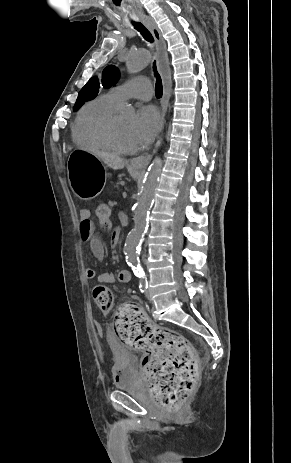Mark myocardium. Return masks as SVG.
Here are the masks:
<instances>
[{"mask_svg":"<svg viewBox=\"0 0 291 463\" xmlns=\"http://www.w3.org/2000/svg\"><path fill=\"white\" fill-rule=\"evenodd\" d=\"M116 118L112 116L103 126L101 133L108 147L119 154H133L136 148H125L117 140Z\"/></svg>","mask_w":291,"mask_h":463,"instance_id":"myocardium-1","label":"myocardium"}]
</instances>
